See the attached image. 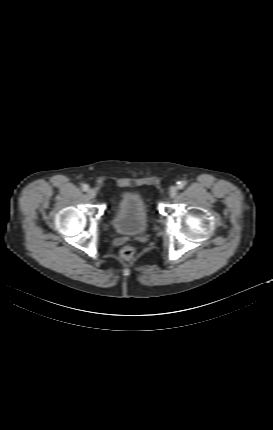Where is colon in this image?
I'll use <instances>...</instances> for the list:
<instances>
[{
	"label": "colon",
	"mask_w": 273,
	"mask_h": 430,
	"mask_svg": "<svg viewBox=\"0 0 273 430\" xmlns=\"http://www.w3.org/2000/svg\"><path fill=\"white\" fill-rule=\"evenodd\" d=\"M134 253H135V250L130 245H126L122 247L120 250V256L124 260H130L131 258H133Z\"/></svg>",
	"instance_id": "1"
}]
</instances>
